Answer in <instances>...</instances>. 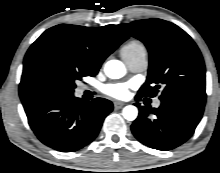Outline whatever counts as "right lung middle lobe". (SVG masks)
I'll return each mask as SVG.
<instances>
[{
  "label": "right lung middle lobe",
  "mask_w": 220,
  "mask_h": 173,
  "mask_svg": "<svg viewBox=\"0 0 220 173\" xmlns=\"http://www.w3.org/2000/svg\"><path fill=\"white\" fill-rule=\"evenodd\" d=\"M85 71L77 70L75 68H63L59 70L54 78L52 79L48 93L62 94V93H73L76 87L75 81L82 80L85 76H95Z\"/></svg>",
  "instance_id": "right-lung-middle-lobe-1"
}]
</instances>
